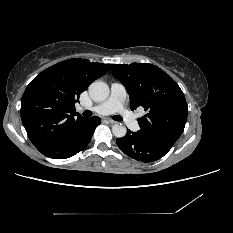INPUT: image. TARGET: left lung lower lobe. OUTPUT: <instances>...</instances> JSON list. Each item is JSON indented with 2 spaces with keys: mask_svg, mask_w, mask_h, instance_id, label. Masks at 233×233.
<instances>
[{
  "mask_svg": "<svg viewBox=\"0 0 233 233\" xmlns=\"http://www.w3.org/2000/svg\"><path fill=\"white\" fill-rule=\"evenodd\" d=\"M122 152L129 157L142 162H153L168 153L173 145L150 140L137 132L127 130L122 138L116 139Z\"/></svg>",
  "mask_w": 233,
  "mask_h": 233,
  "instance_id": "left-lung-lower-lobe-1",
  "label": "left lung lower lobe"
}]
</instances>
